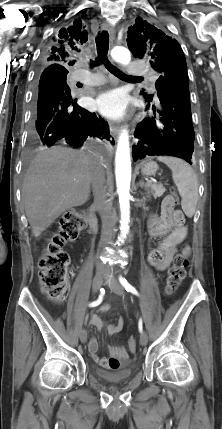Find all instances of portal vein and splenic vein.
Here are the masks:
<instances>
[{
	"mask_svg": "<svg viewBox=\"0 0 222 429\" xmlns=\"http://www.w3.org/2000/svg\"><path fill=\"white\" fill-rule=\"evenodd\" d=\"M152 183V181H148V184H151Z\"/></svg>",
	"mask_w": 222,
	"mask_h": 429,
	"instance_id": "obj_1",
	"label": "portal vein and splenic vein"
}]
</instances>
